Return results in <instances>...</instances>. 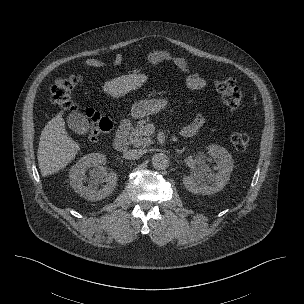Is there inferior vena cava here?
Instances as JSON below:
<instances>
[{
  "label": "inferior vena cava",
  "instance_id": "obj_1",
  "mask_svg": "<svg viewBox=\"0 0 304 304\" xmlns=\"http://www.w3.org/2000/svg\"><path fill=\"white\" fill-rule=\"evenodd\" d=\"M144 154V151L141 149L128 150L124 152V157L126 159L135 160L139 159Z\"/></svg>",
  "mask_w": 304,
  "mask_h": 304
}]
</instances>
